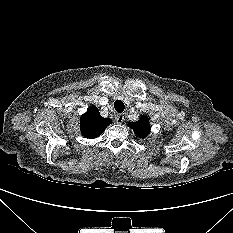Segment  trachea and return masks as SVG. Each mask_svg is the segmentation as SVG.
<instances>
[{
  "instance_id": "trachea-1",
  "label": "trachea",
  "mask_w": 233,
  "mask_h": 233,
  "mask_svg": "<svg viewBox=\"0 0 233 233\" xmlns=\"http://www.w3.org/2000/svg\"><path fill=\"white\" fill-rule=\"evenodd\" d=\"M114 108L117 112L121 113L124 111L125 109V106H124V103L121 101V100H117L115 101L114 103Z\"/></svg>"
}]
</instances>
